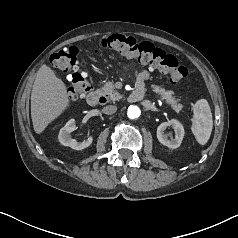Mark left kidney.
Listing matches in <instances>:
<instances>
[{"label": "left kidney", "instance_id": "5707ae66", "mask_svg": "<svg viewBox=\"0 0 238 238\" xmlns=\"http://www.w3.org/2000/svg\"><path fill=\"white\" fill-rule=\"evenodd\" d=\"M168 127H172L175 131V138L169 140L170 136L165 131ZM184 137L183 125L176 119L161 123L157 128V138L159 142L169 148L176 149L181 145Z\"/></svg>", "mask_w": 238, "mask_h": 238}]
</instances>
